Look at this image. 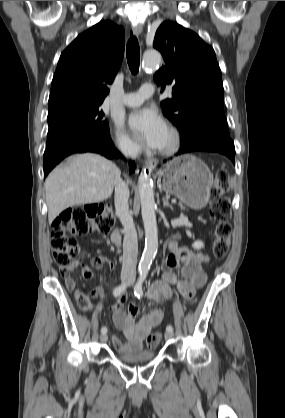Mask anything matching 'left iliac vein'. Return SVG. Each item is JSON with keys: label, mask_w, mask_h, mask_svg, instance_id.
Masks as SVG:
<instances>
[{"label": "left iliac vein", "mask_w": 285, "mask_h": 418, "mask_svg": "<svg viewBox=\"0 0 285 418\" xmlns=\"http://www.w3.org/2000/svg\"><path fill=\"white\" fill-rule=\"evenodd\" d=\"M131 283H133V281H131ZM165 338H166L167 340L172 339V338H173V332H172V331H167V332L165 333Z\"/></svg>", "instance_id": "4c4485c4"}]
</instances>
